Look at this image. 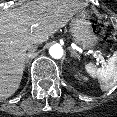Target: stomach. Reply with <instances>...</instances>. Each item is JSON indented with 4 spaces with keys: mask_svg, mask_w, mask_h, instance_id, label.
Masks as SVG:
<instances>
[{
    "mask_svg": "<svg viewBox=\"0 0 117 117\" xmlns=\"http://www.w3.org/2000/svg\"><path fill=\"white\" fill-rule=\"evenodd\" d=\"M70 31L74 41L79 44L82 49L88 50L93 47L95 35L84 11H80L74 18H71Z\"/></svg>",
    "mask_w": 117,
    "mask_h": 117,
    "instance_id": "obj_1",
    "label": "stomach"
}]
</instances>
